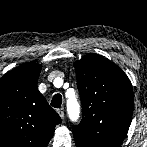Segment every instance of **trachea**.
Returning a JSON list of instances; mask_svg holds the SVG:
<instances>
[{
  "mask_svg": "<svg viewBox=\"0 0 147 147\" xmlns=\"http://www.w3.org/2000/svg\"><path fill=\"white\" fill-rule=\"evenodd\" d=\"M62 104V96L61 94H55L51 101V106L54 108H59Z\"/></svg>",
  "mask_w": 147,
  "mask_h": 147,
  "instance_id": "3493384b",
  "label": "trachea"
}]
</instances>
